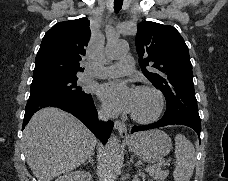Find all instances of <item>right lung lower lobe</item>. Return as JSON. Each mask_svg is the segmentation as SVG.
Instances as JSON below:
<instances>
[{"instance_id":"right-lung-lower-lobe-1","label":"right lung lower lobe","mask_w":228,"mask_h":181,"mask_svg":"<svg viewBox=\"0 0 228 181\" xmlns=\"http://www.w3.org/2000/svg\"><path fill=\"white\" fill-rule=\"evenodd\" d=\"M45 107H56L73 114L84 123L95 136L105 144L113 129V122H99L93 100L75 101L58 96H37L29 98L23 120V128L36 111Z\"/></svg>"}]
</instances>
